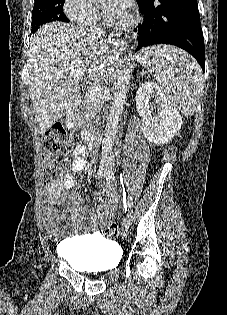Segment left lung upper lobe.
Here are the masks:
<instances>
[{
  "label": "left lung upper lobe",
  "mask_w": 227,
  "mask_h": 315,
  "mask_svg": "<svg viewBox=\"0 0 227 315\" xmlns=\"http://www.w3.org/2000/svg\"><path fill=\"white\" fill-rule=\"evenodd\" d=\"M140 1H145V0H138V2H140Z\"/></svg>",
  "instance_id": "5c2ea615"
}]
</instances>
